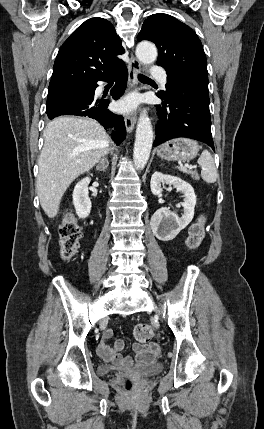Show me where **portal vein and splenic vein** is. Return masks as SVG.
<instances>
[{"label":"portal vein and splenic vein","mask_w":264,"mask_h":429,"mask_svg":"<svg viewBox=\"0 0 264 429\" xmlns=\"http://www.w3.org/2000/svg\"><path fill=\"white\" fill-rule=\"evenodd\" d=\"M184 167H185V168H188V169H194V168H196L195 166H193V165H189L188 163H185V164H184Z\"/></svg>","instance_id":"1"}]
</instances>
